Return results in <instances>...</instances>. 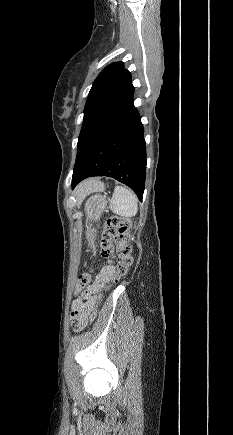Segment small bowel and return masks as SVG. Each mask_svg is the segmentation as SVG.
Here are the masks:
<instances>
[{"label": "small bowel", "instance_id": "1", "mask_svg": "<svg viewBox=\"0 0 233 435\" xmlns=\"http://www.w3.org/2000/svg\"><path fill=\"white\" fill-rule=\"evenodd\" d=\"M114 268L111 266H103L97 275V279L101 283L108 282L114 275ZM75 292H81L77 299L72 303L71 321L75 328L83 327L88 322V311L93 305L94 291L97 289V284L88 287H81L79 280L75 283Z\"/></svg>", "mask_w": 233, "mask_h": 435}]
</instances>
